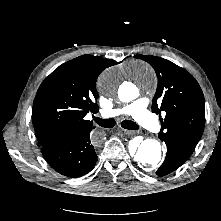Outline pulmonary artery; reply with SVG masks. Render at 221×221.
<instances>
[{
	"label": "pulmonary artery",
	"instance_id": "pulmonary-artery-1",
	"mask_svg": "<svg viewBox=\"0 0 221 221\" xmlns=\"http://www.w3.org/2000/svg\"><path fill=\"white\" fill-rule=\"evenodd\" d=\"M147 104V99H138L122 109L103 110L101 117L109 119L121 114H129L148 130L158 132L161 130V123L153 114L147 111Z\"/></svg>",
	"mask_w": 221,
	"mask_h": 221
}]
</instances>
